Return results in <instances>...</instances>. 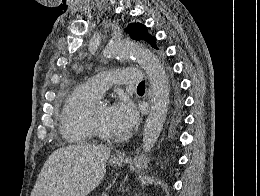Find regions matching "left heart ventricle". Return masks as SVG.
<instances>
[{"label": "left heart ventricle", "mask_w": 260, "mask_h": 196, "mask_svg": "<svg viewBox=\"0 0 260 196\" xmlns=\"http://www.w3.org/2000/svg\"><path fill=\"white\" fill-rule=\"evenodd\" d=\"M95 118L98 125L109 133L116 132L110 119V106L105 102H100L97 106Z\"/></svg>", "instance_id": "obj_1"}]
</instances>
